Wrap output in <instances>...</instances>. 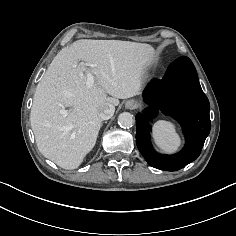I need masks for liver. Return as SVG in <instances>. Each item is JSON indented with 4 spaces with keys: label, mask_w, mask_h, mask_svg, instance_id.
<instances>
[{
    "label": "liver",
    "mask_w": 236,
    "mask_h": 236,
    "mask_svg": "<svg viewBox=\"0 0 236 236\" xmlns=\"http://www.w3.org/2000/svg\"><path fill=\"white\" fill-rule=\"evenodd\" d=\"M153 57L149 45L120 40L82 39L58 52L36 87L30 113L42 155L63 169L78 168L96 144L101 109L139 95ZM65 108H71L67 115L60 113Z\"/></svg>",
    "instance_id": "liver-1"
}]
</instances>
